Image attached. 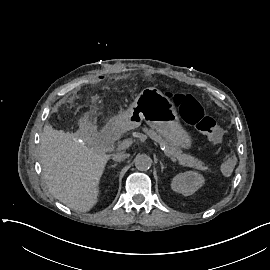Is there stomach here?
I'll list each match as a JSON object with an SVG mask.
<instances>
[{
  "instance_id": "1",
  "label": "stomach",
  "mask_w": 270,
  "mask_h": 270,
  "mask_svg": "<svg viewBox=\"0 0 270 270\" xmlns=\"http://www.w3.org/2000/svg\"><path fill=\"white\" fill-rule=\"evenodd\" d=\"M119 119L125 130L139 127L145 121L174 150H189L194 146V138L181 124L175 103L164 98L156 87L144 88Z\"/></svg>"
}]
</instances>
